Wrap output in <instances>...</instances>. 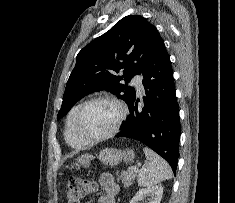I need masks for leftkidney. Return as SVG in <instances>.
Segmentation results:
<instances>
[{"label":"left kidney","mask_w":235,"mask_h":203,"mask_svg":"<svg viewBox=\"0 0 235 203\" xmlns=\"http://www.w3.org/2000/svg\"><path fill=\"white\" fill-rule=\"evenodd\" d=\"M162 194L163 187L161 185L151 186L137 191L129 203H138L144 199L145 203H160Z\"/></svg>","instance_id":"5707ae66"}]
</instances>
